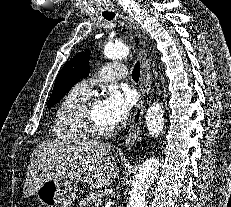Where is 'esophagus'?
<instances>
[{"mask_svg": "<svg viewBox=\"0 0 231 207\" xmlns=\"http://www.w3.org/2000/svg\"><path fill=\"white\" fill-rule=\"evenodd\" d=\"M129 19V18H128ZM133 27L137 30L141 44L145 47V38L139 30L137 24L130 20ZM152 84V74L150 69V59L145 49L142 50V67H141V85H140V101L138 102L134 111L127 135L125 137L124 147L130 151L132 150L136 140L142 131V120L145 110L146 95L148 94Z\"/></svg>", "mask_w": 231, "mask_h": 207, "instance_id": "34e87169", "label": "esophagus"}]
</instances>
